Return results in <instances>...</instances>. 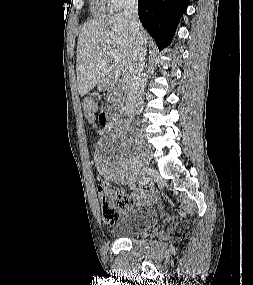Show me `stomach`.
Listing matches in <instances>:
<instances>
[{"label":"stomach","mask_w":253,"mask_h":285,"mask_svg":"<svg viewBox=\"0 0 253 285\" xmlns=\"http://www.w3.org/2000/svg\"><path fill=\"white\" fill-rule=\"evenodd\" d=\"M98 89L101 90V87L99 86Z\"/></svg>","instance_id":"1"}]
</instances>
